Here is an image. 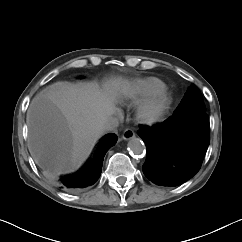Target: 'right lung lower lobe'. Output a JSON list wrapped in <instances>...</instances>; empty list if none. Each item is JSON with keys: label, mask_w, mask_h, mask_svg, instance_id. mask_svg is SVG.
<instances>
[{"label": "right lung lower lobe", "mask_w": 242, "mask_h": 242, "mask_svg": "<svg viewBox=\"0 0 242 242\" xmlns=\"http://www.w3.org/2000/svg\"><path fill=\"white\" fill-rule=\"evenodd\" d=\"M116 141L117 136L115 134H107L100 142L89 165L74 174L65 175L57 179L56 182L59 188L74 192L95 183L101 174L104 156Z\"/></svg>", "instance_id": "right-lung-lower-lobe-1"}]
</instances>
